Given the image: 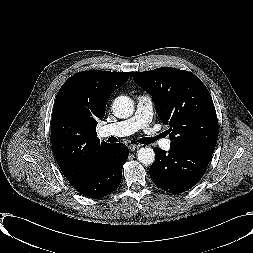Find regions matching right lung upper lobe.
I'll return each mask as SVG.
<instances>
[{"label":"right lung upper lobe","mask_w":253,"mask_h":253,"mask_svg":"<svg viewBox=\"0 0 253 253\" xmlns=\"http://www.w3.org/2000/svg\"><path fill=\"white\" fill-rule=\"evenodd\" d=\"M130 75L90 70L76 73L60 88L53 107L51 142L57 163L71 185L82 179L108 145L97 137V121L103 119L110 95Z\"/></svg>","instance_id":"right-lung-upper-lobe-1"}]
</instances>
